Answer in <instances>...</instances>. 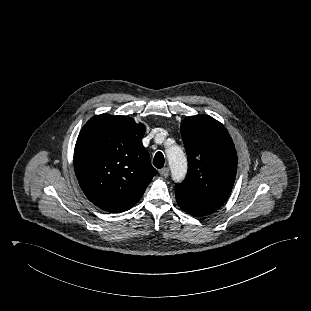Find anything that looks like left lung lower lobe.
Here are the masks:
<instances>
[{
    "label": "left lung lower lobe",
    "mask_w": 311,
    "mask_h": 311,
    "mask_svg": "<svg viewBox=\"0 0 311 311\" xmlns=\"http://www.w3.org/2000/svg\"><path fill=\"white\" fill-rule=\"evenodd\" d=\"M176 200L180 208L194 217L209 215L223 204L195 197L181 189L175 188Z\"/></svg>",
    "instance_id": "1"
}]
</instances>
